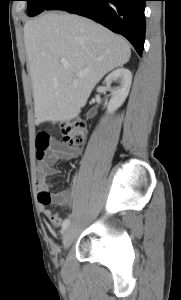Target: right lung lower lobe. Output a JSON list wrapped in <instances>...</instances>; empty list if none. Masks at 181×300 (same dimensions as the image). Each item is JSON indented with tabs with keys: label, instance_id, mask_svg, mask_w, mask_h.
I'll return each mask as SVG.
<instances>
[{
	"label": "right lung lower lobe",
	"instance_id": "obj_1",
	"mask_svg": "<svg viewBox=\"0 0 181 300\" xmlns=\"http://www.w3.org/2000/svg\"><path fill=\"white\" fill-rule=\"evenodd\" d=\"M145 1L58 0L50 10H64L88 17L126 37L141 56L145 40Z\"/></svg>",
	"mask_w": 181,
	"mask_h": 300
}]
</instances>
